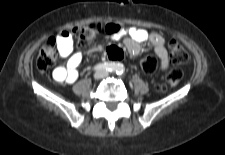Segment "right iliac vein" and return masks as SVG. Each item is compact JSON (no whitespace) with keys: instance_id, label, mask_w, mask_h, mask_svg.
Listing matches in <instances>:
<instances>
[{"instance_id":"right-iliac-vein-1","label":"right iliac vein","mask_w":225,"mask_h":155,"mask_svg":"<svg viewBox=\"0 0 225 155\" xmlns=\"http://www.w3.org/2000/svg\"><path fill=\"white\" fill-rule=\"evenodd\" d=\"M103 76H104V72H103V71H97V72L94 74V79H95V80H99V79H101Z\"/></svg>"}]
</instances>
